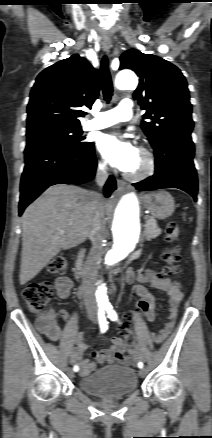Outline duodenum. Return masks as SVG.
Returning <instances> with one entry per match:
<instances>
[{
    "mask_svg": "<svg viewBox=\"0 0 212 438\" xmlns=\"http://www.w3.org/2000/svg\"><path fill=\"white\" fill-rule=\"evenodd\" d=\"M83 261H84V250H81L78 253L77 256V260H76V264H75V272L77 274V276L79 277L82 273V268H83Z\"/></svg>",
    "mask_w": 212,
    "mask_h": 438,
    "instance_id": "obj_1",
    "label": "duodenum"
}]
</instances>
